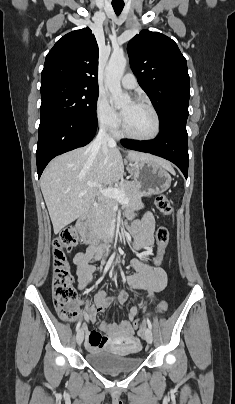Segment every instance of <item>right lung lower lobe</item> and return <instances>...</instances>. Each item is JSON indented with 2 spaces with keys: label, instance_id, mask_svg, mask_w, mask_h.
Returning <instances> with one entry per match:
<instances>
[{
  "label": "right lung lower lobe",
  "instance_id": "obj_1",
  "mask_svg": "<svg viewBox=\"0 0 235 404\" xmlns=\"http://www.w3.org/2000/svg\"><path fill=\"white\" fill-rule=\"evenodd\" d=\"M97 127V118L83 120L64 115L41 118L36 152L38 178L55 156L88 144Z\"/></svg>",
  "mask_w": 235,
  "mask_h": 404
}]
</instances>
